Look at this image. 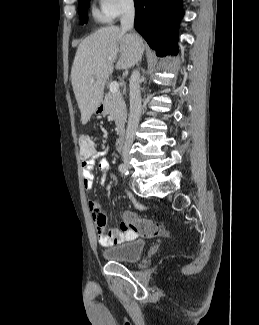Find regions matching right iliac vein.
Instances as JSON below:
<instances>
[{
  "mask_svg": "<svg viewBox=\"0 0 259 325\" xmlns=\"http://www.w3.org/2000/svg\"><path fill=\"white\" fill-rule=\"evenodd\" d=\"M123 161L127 166L131 165V157L129 156V154H124L123 155Z\"/></svg>",
  "mask_w": 259,
  "mask_h": 325,
  "instance_id": "right-iliac-vein-1",
  "label": "right iliac vein"
}]
</instances>
